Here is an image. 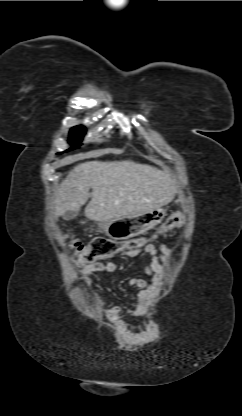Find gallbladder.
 I'll use <instances>...</instances> for the list:
<instances>
[{"label": "gallbladder", "mask_w": 242, "mask_h": 416, "mask_svg": "<svg viewBox=\"0 0 242 416\" xmlns=\"http://www.w3.org/2000/svg\"><path fill=\"white\" fill-rule=\"evenodd\" d=\"M77 215H78V211L68 210L63 214V219L69 221V220L76 218Z\"/></svg>", "instance_id": "gallbladder-1"}]
</instances>
